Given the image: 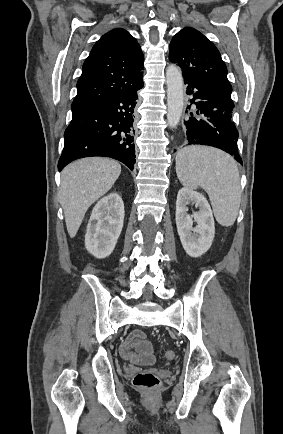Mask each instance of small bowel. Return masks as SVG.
Instances as JSON below:
<instances>
[{
	"label": "small bowel",
	"mask_w": 283,
	"mask_h": 434,
	"mask_svg": "<svg viewBox=\"0 0 283 434\" xmlns=\"http://www.w3.org/2000/svg\"><path fill=\"white\" fill-rule=\"evenodd\" d=\"M119 352L123 359L138 365H150L154 361L153 345L141 330L132 331L120 345Z\"/></svg>",
	"instance_id": "small-bowel-1"
}]
</instances>
